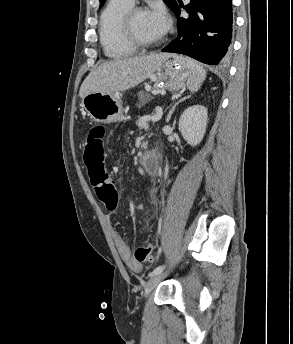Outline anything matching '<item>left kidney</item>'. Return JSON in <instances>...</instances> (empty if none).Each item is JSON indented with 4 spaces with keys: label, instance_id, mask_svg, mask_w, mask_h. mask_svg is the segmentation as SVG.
<instances>
[{
    "label": "left kidney",
    "instance_id": "obj_1",
    "mask_svg": "<svg viewBox=\"0 0 293 344\" xmlns=\"http://www.w3.org/2000/svg\"><path fill=\"white\" fill-rule=\"evenodd\" d=\"M208 111L202 105L188 107L179 119V131L191 146L198 145L206 132Z\"/></svg>",
    "mask_w": 293,
    "mask_h": 344
}]
</instances>
